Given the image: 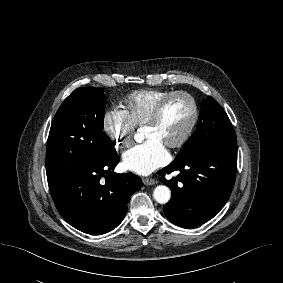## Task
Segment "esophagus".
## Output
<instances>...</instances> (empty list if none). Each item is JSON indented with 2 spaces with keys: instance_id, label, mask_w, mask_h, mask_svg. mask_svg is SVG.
<instances>
[{
  "instance_id": "1",
  "label": "esophagus",
  "mask_w": 283,
  "mask_h": 283,
  "mask_svg": "<svg viewBox=\"0 0 283 283\" xmlns=\"http://www.w3.org/2000/svg\"><path fill=\"white\" fill-rule=\"evenodd\" d=\"M142 181L145 185H154L156 183V180L152 178H143Z\"/></svg>"
}]
</instances>
